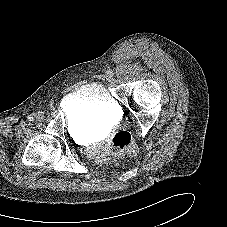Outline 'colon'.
<instances>
[{
	"label": "colon",
	"instance_id": "1",
	"mask_svg": "<svg viewBox=\"0 0 227 227\" xmlns=\"http://www.w3.org/2000/svg\"><path fill=\"white\" fill-rule=\"evenodd\" d=\"M108 150L115 154L127 152L129 154L135 153V146L133 145L131 135L128 132L121 131L115 134L111 140V145Z\"/></svg>",
	"mask_w": 227,
	"mask_h": 227
}]
</instances>
